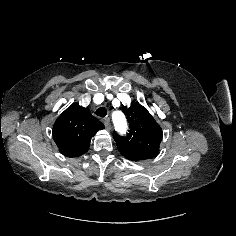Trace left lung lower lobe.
<instances>
[{"instance_id":"obj_1","label":"left lung lower lobe","mask_w":236,"mask_h":236,"mask_svg":"<svg viewBox=\"0 0 236 236\" xmlns=\"http://www.w3.org/2000/svg\"><path fill=\"white\" fill-rule=\"evenodd\" d=\"M120 153L131 161H143L157 156L158 151L135 150L124 147L118 148Z\"/></svg>"}]
</instances>
